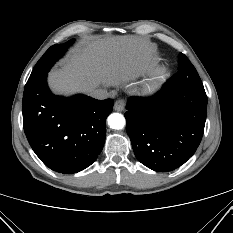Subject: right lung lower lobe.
Returning a JSON list of instances; mask_svg holds the SVG:
<instances>
[{"label": "right lung lower lobe", "mask_w": 233, "mask_h": 233, "mask_svg": "<svg viewBox=\"0 0 233 233\" xmlns=\"http://www.w3.org/2000/svg\"><path fill=\"white\" fill-rule=\"evenodd\" d=\"M46 78L47 74L25 86L24 131L47 167L63 174L76 173L90 166L102 151L105 121L114 101L55 96Z\"/></svg>", "instance_id": "98d812e1"}]
</instances>
